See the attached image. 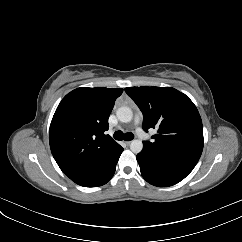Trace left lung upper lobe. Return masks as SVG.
I'll return each mask as SVG.
<instances>
[{
	"label": "left lung upper lobe",
	"instance_id": "left-lung-upper-lobe-1",
	"mask_svg": "<svg viewBox=\"0 0 242 242\" xmlns=\"http://www.w3.org/2000/svg\"><path fill=\"white\" fill-rule=\"evenodd\" d=\"M125 91L143 113V129H158L154 141H143L144 147L197 164L203 150V128L193 102L171 87H130Z\"/></svg>",
	"mask_w": 242,
	"mask_h": 242
}]
</instances>
